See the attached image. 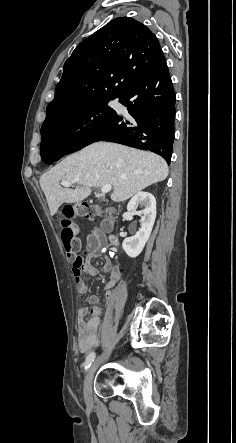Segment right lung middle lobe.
I'll return each mask as SVG.
<instances>
[{"label":"right lung middle lobe","mask_w":236,"mask_h":443,"mask_svg":"<svg viewBox=\"0 0 236 443\" xmlns=\"http://www.w3.org/2000/svg\"><path fill=\"white\" fill-rule=\"evenodd\" d=\"M115 98L117 96H98L81 106L45 119L41 127L40 149L45 146H66L85 134L113 112L107 104Z\"/></svg>","instance_id":"dd1d6c3e"}]
</instances>
